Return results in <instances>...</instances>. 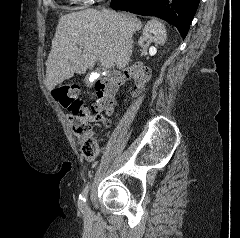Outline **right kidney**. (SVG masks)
<instances>
[{
	"label": "right kidney",
	"instance_id": "1",
	"mask_svg": "<svg viewBox=\"0 0 240 238\" xmlns=\"http://www.w3.org/2000/svg\"><path fill=\"white\" fill-rule=\"evenodd\" d=\"M153 34V36H152ZM167 34L164 24L159 22L156 19L148 21L143 29V35L139 39L138 43L141 47L144 46V42L149 40L155 44L164 45L166 42ZM153 52H156L155 48L150 49Z\"/></svg>",
	"mask_w": 240,
	"mask_h": 238
}]
</instances>
